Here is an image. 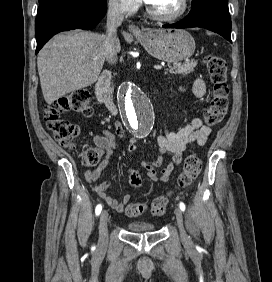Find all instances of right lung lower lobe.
I'll return each mask as SVG.
<instances>
[{
  "instance_id": "obj_1",
  "label": "right lung lower lobe",
  "mask_w": 272,
  "mask_h": 282,
  "mask_svg": "<svg viewBox=\"0 0 272 282\" xmlns=\"http://www.w3.org/2000/svg\"><path fill=\"white\" fill-rule=\"evenodd\" d=\"M106 1L45 0L35 20L36 54L55 34L72 29H92L105 16Z\"/></svg>"
}]
</instances>
